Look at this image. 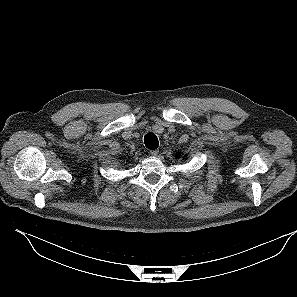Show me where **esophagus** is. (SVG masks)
Wrapping results in <instances>:
<instances>
[{
    "label": "esophagus",
    "instance_id": "obj_1",
    "mask_svg": "<svg viewBox=\"0 0 297 297\" xmlns=\"http://www.w3.org/2000/svg\"><path fill=\"white\" fill-rule=\"evenodd\" d=\"M158 153H159V150H158V149H155V150H151V151H150V154H151L152 156H157Z\"/></svg>",
    "mask_w": 297,
    "mask_h": 297
}]
</instances>
